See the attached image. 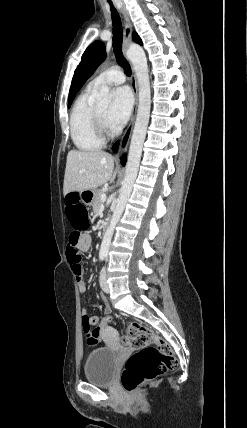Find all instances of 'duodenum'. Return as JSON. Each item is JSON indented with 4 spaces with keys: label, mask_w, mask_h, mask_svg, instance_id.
Returning <instances> with one entry per match:
<instances>
[{
    "label": "duodenum",
    "mask_w": 247,
    "mask_h": 428,
    "mask_svg": "<svg viewBox=\"0 0 247 428\" xmlns=\"http://www.w3.org/2000/svg\"><path fill=\"white\" fill-rule=\"evenodd\" d=\"M107 227H108V223L105 222L104 225H103V234L106 232Z\"/></svg>",
    "instance_id": "410a0bca"
}]
</instances>
